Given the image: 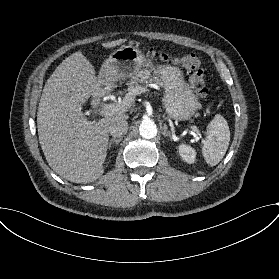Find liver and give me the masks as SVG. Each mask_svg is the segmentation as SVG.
<instances>
[{
  "mask_svg": "<svg viewBox=\"0 0 279 279\" xmlns=\"http://www.w3.org/2000/svg\"><path fill=\"white\" fill-rule=\"evenodd\" d=\"M129 41L120 38L101 43L112 49ZM109 79L97 76L94 65L77 51L67 57L46 81L37 110V131L48 165L65 180L88 184L101 178L108 155V129L128 114L115 112L89 120L84 107Z\"/></svg>",
  "mask_w": 279,
  "mask_h": 279,
  "instance_id": "liver-1",
  "label": "liver"
}]
</instances>
